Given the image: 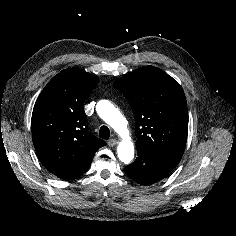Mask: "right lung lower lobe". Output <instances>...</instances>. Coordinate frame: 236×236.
<instances>
[{
    "label": "right lung lower lobe",
    "mask_w": 236,
    "mask_h": 236,
    "mask_svg": "<svg viewBox=\"0 0 236 236\" xmlns=\"http://www.w3.org/2000/svg\"><path fill=\"white\" fill-rule=\"evenodd\" d=\"M89 168V167H88ZM87 168V169H88ZM87 169L81 171V172H78V173H74V174H70V175H67V176H64L62 177V179L64 180H73V179H76L78 177H80Z\"/></svg>",
    "instance_id": "right-lung-lower-lobe-1"
}]
</instances>
